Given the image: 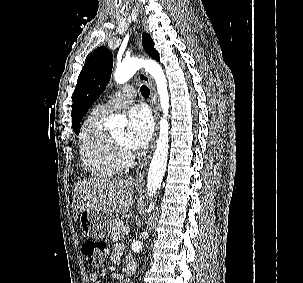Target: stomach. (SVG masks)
Instances as JSON below:
<instances>
[{"mask_svg": "<svg viewBox=\"0 0 303 283\" xmlns=\"http://www.w3.org/2000/svg\"><path fill=\"white\" fill-rule=\"evenodd\" d=\"M113 220L112 214L96 210L87 209L79 214L82 234L93 239L106 238L111 232Z\"/></svg>", "mask_w": 303, "mask_h": 283, "instance_id": "0dacf381", "label": "stomach"}]
</instances>
